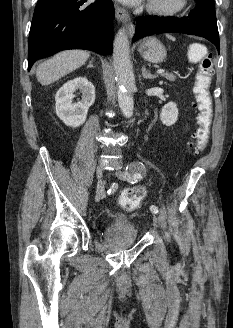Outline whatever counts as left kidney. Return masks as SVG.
<instances>
[{
	"label": "left kidney",
	"instance_id": "1",
	"mask_svg": "<svg viewBox=\"0 0 233 328\" xmlns=\"http://www.w3.org/2000/svg\"><path fill=\"white\" fill-rule=\"evenodd\" d=\"M161 121L166 126H171L178 119V108L176 103L169 102L163 106L160 114Z\"/></svg>",
	"mask_w": 233,
	"mask_h": 328
}]
</instances>
